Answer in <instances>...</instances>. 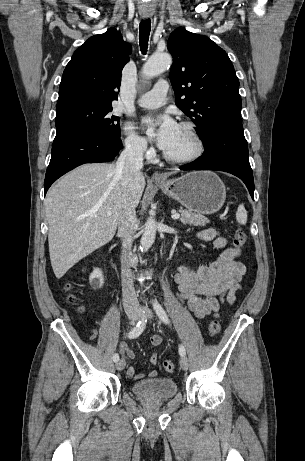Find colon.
I'll return each instance as SVG.
<instances>
[{"label":"colon","instance_id":"colon-1","mask_svg":"<svg viewBox=\"0 0 305 461\" xmlns=\"http://www.w3.org/2000/svg\"><path fill=\"white\" fill-rule=\"evenodd\" d=\"M246 241L247 235L245 231L241 228L236 229L233 236L234 245L237 247H242L243 245H245ZM67 300L70 303H76V298L73 294H68ZM220 330V321L218 315H215L208 326V332L211 336H216L217 334H219ZM163 368L166 372L171 373L175 369V364L171 360H166L163 363Z\"/></svg>","mask_w":305,"mask_h":461}]
</instances>
